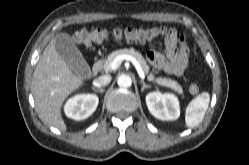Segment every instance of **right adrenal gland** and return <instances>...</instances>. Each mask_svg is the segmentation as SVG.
<instances>
[{
    "mask_svg": "<svg viewBox=\"0 0 249 165\" xmlns=\"http://www.w3.org/2000/svg\"><path fill=\"white\" fill-rule=\"evenodd\" d=\"M92 89H93L95 92H99V93H103V92H104V89H103V88H98V89H96V88L92 87Z\"/></svg>",
    "mask_w": 249,
    "mask_h": 165,
    "instance_id": "2a0ac1e0",
    "label": "right adrenal gland"
}]
</instances>
